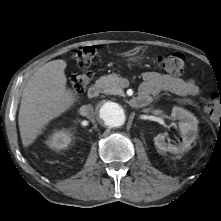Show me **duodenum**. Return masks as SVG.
<instances>
[{
  "label": "duodenum",
  "mask_w": 221,
  "mask_h": 221,
  "mask_svg": "<svg viewBox=\"0 0 221 221\" xmlns=\"http://www.w3.org/2000/svg\"><path fill=\"white\" fill-rule=\"evenodd\" d=\"M101 90L100 84L96 83L93 84L89 89H88V96L90 98H96ZM152 102V98L150 95L146 93H140L136 97H133L130 101L131 105L135 108H141L149 105Z\"/></svg>",
  "instance_id": "obj_1"
}]
</instances>
